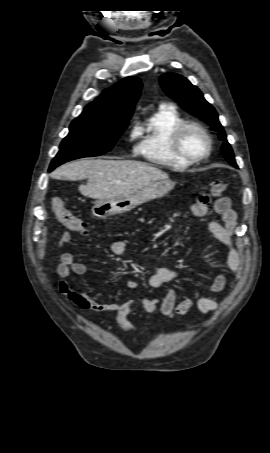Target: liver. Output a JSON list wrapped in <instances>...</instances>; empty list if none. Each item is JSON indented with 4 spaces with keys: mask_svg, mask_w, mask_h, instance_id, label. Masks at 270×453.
I'll use <instances>...</instances> for the list:
<instances>
[{
    "mask_svg": "<svg viewBox=\"0 0 270 453\" xmlns=\"http://www.w3.org/2000/svg\"><path fill=\"white\" fill-rule=\"evenodd\" d=\"M58 180H82V195L93 199H112L127 196L168 174L149 164L134 160H81L61 165L51 173Z\"/></svg>",
    "mask_w": 270,
    "mask_h": 453,
    "instance_id": "obj_1",
    "label": "liver"
}]
</instances>
